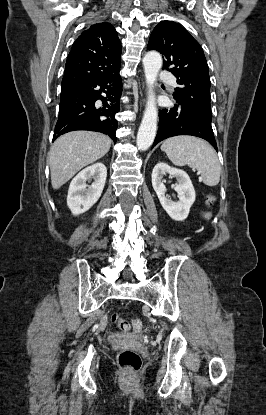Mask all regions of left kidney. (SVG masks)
Wrapping results in <instances>:
<instances>
[{
    "label": "left kidney",
    "instance_id": "left-kidney-1",
    "mask_svg": "<svg viewBox=\"0 0 266 415\" xmlns=\"http://www.w3.org/2000/svg\"><path fill=\"white\" fill-rule=\"evenodd\" d=\"M167 173L175 177L178 182L174 188L178 193V201H172L165 194L166 187L163 183V177ZM152 186L162 207L173 220L183 221L187 218L196 194L190 177L185 171L170 167L166 163H158L152 171Z\"/></svg>",
    "mask_w": 266,
    "mask_h": 415
}]
</instances>
